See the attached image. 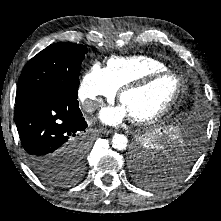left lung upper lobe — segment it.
<instances>
[{"label": "left lung upper lobe", "instance_id": "5c2ea615", "mask_svg": "<svg viewBox=\"0 0 221 221\" xmlns=\"http://www.w3.org/2000/svg\"><path fill=\"white\" fill-rule=\"evenodd\" d=\"M143 148V146H142ZM145 151V152H144ZM141 154L138 155L137 163L134 165V177L135 179L145 185V186H156L153 183V180L155 179V176L159 175L158 173H155L153 169L149 167L150 164H155L156 160L152 155L148 156L152 153L150 149L147 147L143 148V152H139ZM143 154V156H142ZM145 154V155H144Z\"/></svg>", "mask_w": 221, "mask_h": 221}]
</instances>
